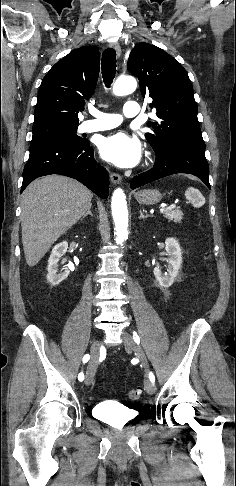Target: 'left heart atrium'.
I'll return each mask as SVG.
<instances>
[{
    "instance_id": "1",
    "label": "left heart atrium",
    "mask_w": 236,
    "mask_h": 486,
    "mask_svg": "<svg viewBox=\"0 0 236 486\" xmlns=\"http://www.w3.org/2000/svg\"><path fill=\"white\" fill-rule=\"evenodd\" d=\"M99 153L103 159L118 167L130 168L140 161L142 147L137 138L117 132L101 139Z\"/></svg>"
}]
</instances>
